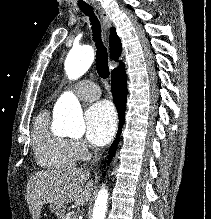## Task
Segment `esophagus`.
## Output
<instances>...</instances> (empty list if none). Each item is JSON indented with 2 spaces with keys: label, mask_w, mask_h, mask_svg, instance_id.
Wrapping results in <instances>:
<instances>
[{
  "label": "esophagus",
  "mask_w": 211,
  "mask_h": 219,
  "mask_svg": "<svg viewBox=\"0 0 211 219\" xmlns=\"http://www.w3.org/2000/svg\"><path fill=\"white\" fill-rule=\"evenodd\" d=\"M95 7L102 21L105 38H107V31L110 29L112 22L105 10H103L100 6H95Z\"/></svg>",
  "instance_id": "34e87169"
}]
</instances>
